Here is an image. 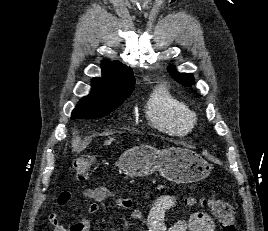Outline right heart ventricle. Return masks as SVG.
Listing matches in <instances>:
<instances>
[{"label":"right heart ventricle","instance_id":"1","mask_svg":"<svg viewBox=\"0 0 268 231\" xmlns=\"http://www.w3.org/2000/svg\"><path fill=\"white\" fill-rule=\"evenodd\" d=\"M145 116L152 127L168 135H186L196 124L195 112L163 87L151 94L145 106Z\"/></svg>","mask_w":268,"mask_h":231}]
</instances>
